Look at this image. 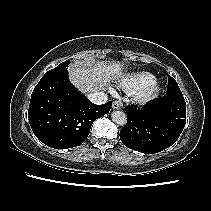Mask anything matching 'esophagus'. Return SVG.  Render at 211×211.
<instances>
[{
	"label": "esophagus",
	"instance_id": "obj_1",
	"mask_svg": "<svg viewBox=\"0 0 211 211\" xmlns=\"http://www.w3.org/2000/svg\"><path fill=\"white\" fill-rule=\"evenodd\" d=\"M121 107H122V104L120 101H114L112 104L113 109H121Z\"/></svg>",
	"mask_w": 211,
	"mask_h": 211
}]
</instances>
